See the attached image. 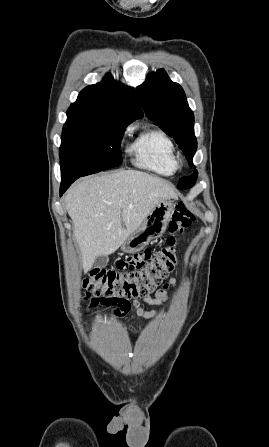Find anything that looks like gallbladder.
Wrapping results in <instances>:
<instances>
[{
  "label": "gallbladder",
  "mask_w": 269,
  "mask_h": 447,
  "mask_svg": "<svg viewBox=\"0 0 269 447\" xmlns=\"http://www.w3.org/2000/svg\"><path fill=\"white\" fill-rule=\"evenodd\" d=\"M108 263L107 255H101V257H96L94 261V267H105Z\"/></svg>",
  "instance_id": "bac80fb5"
}]
</instances>
